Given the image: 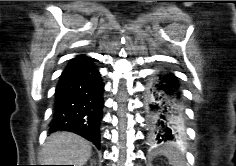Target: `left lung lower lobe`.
Returning <instances> with one entry per match:
<instances>
[{
  "label": "left lung lower lobe",
  "instance_id": "left-lung-lower-lobe-1",
  "mask_svg": "<svg viewBox=\"0 0 236 166\" xmlns=\"http://www.w3.org/2000/svg\"><path fill=\"white\" fill-rule=\"evenodd\" d=\"M148 110L149 141L152 146L175 142L182 137V93L173 73L161 72L153 78Z\"/></svg>",
  "mask_w": 236,
  "mask_h": 166
}]
</instances>
